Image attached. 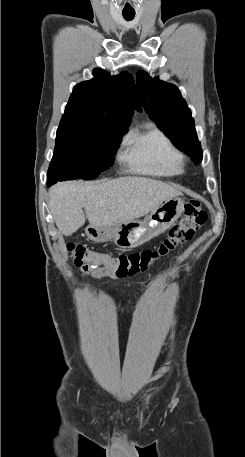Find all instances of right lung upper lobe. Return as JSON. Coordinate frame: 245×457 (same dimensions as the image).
Masks as SVG:
<instances>
[{
  "label": "right lung upper lobe",
  "instance_id": "obj_1",
  "mask_svg": "<svg viewBox=\"0 0 245 457\" xmlns=\"http://www.w3.org/2000/svg\"><path fill=\"white\" fill-rule=\"evenodd\" d=\"M94 76L73 88L62 117L129 124L134 109L140 110L133 77L127 72L110 76L98 68Z\"/></svg>",
  "mask_w": 245,
  "mask_h": 457
}]
</instances>
